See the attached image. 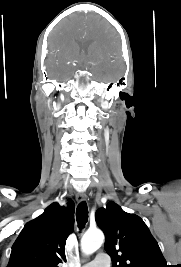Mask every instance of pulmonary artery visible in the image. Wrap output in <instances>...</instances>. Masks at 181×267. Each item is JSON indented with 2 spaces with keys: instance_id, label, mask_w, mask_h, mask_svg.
<instances>
[{
  "instance_id": "pulmonary-artery-1",
  "label": "pulmonary artery",
  "mask_w": 181,
  "mask_h": 267,
  "mask_svg": "<svg viewBox=\"0 0 181 267\" xmlns=\"http://www.w3.org/2000/svg\"><path fill=\"white\" fill-rule=\"evenodd\" d=\"M108 258L105 255H99L95 260L85 264L83 267H108Z\"/></svg>"
}]
</instances>
